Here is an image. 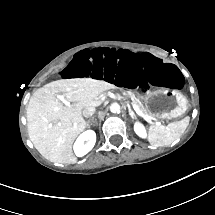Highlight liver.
<instances>
[{
  "label": "liver",
  "mask_w": 215,
  "mask_h": 215,
  "mask_svg": "<svg viewBox=\"0 0 215 215\" xmlns=\"http://www.w3.org/2000/svg\"><path fill=\"white\" fill-rule=\"evenodd\" d=\"M110 83L93 78H70L49 82L31 96L27 108V129L34 147L46 159L59 163H76L72 143L85 128L81 111L86 106H99V95L110 89ZM75 102L63 106L54 96Z\"/></svg>",
  "instance_id": "6515ba94"
}]
</instances>
